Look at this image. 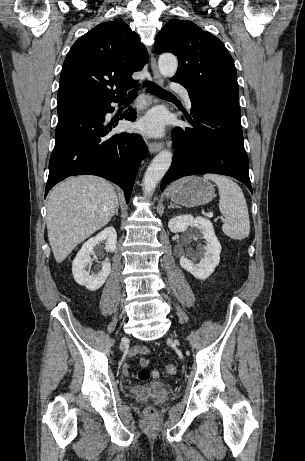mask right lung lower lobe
Masks as SVG:
<instances>
[{"mask_svg":"<svg viewBox=\"0 0 305 461\" xmlns=\"http://www.w3.org/2000/svg\"><path fill=\"white\" fill-rule=\"evenodd\" d=\"M124 97L58 108L45 196L56 183L69 176L91 174L119 185L129 201L136 170L147 156V148L139 135H113L110 131L116 124H104L105 115L114 110L110 103H121ZM120 118L134 121L136 113L129 109Z\"/></svg>","mask_w":305,"mask_h":461,"instance_id":"right-lung-lower-lobe-1","label":"right lung lower lobe"}]
</instances>
